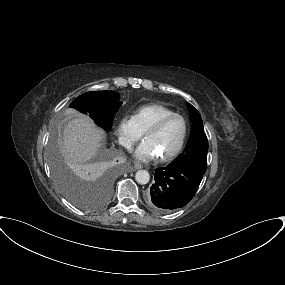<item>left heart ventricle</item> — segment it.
I'll return each mask as SVG.
<instances>
[{
    "mask_svg": "<svg viewBox=\"0 0 285 285\" xmlns=\"http://www.w3.org/2000/svg\"><path fill=\"white\" fill-rule=\"evenodd\" d=\"M183 131V122L175 118L165 124L158 132L148 135L146 140L150 142L157 156H163L177 148L181 141Z\"/></svg>",
    "mask_w": 285,
    "mask_h": 285,
    "instance_id": "1",
    "label": "left heart ventricle"
}]
</instances>
